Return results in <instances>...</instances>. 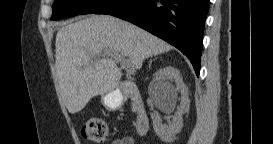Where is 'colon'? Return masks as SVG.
Instances as JSON below:
<instances>
[{"mask_svg": "<svg viewBox=\"0 0 273 144\" xmlns=\"http://www.w3.org/2000/svg\"><path fill=\"white\" fill-rule=\"evenodd\" d=\"M84 139L94 143H104L107 138V126L101 118H90L84 122L81 128Z\"/></svg>", "mask_w": 273, "mask_h": 144, "instance_id": "1", "label": "colon"}]
</instances>
